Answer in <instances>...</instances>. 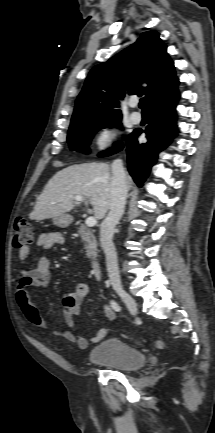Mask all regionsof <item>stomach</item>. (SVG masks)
Instances as JSON below:
<instances>
[{
    "mask_svg": "<svg viewBox=\"0 0 215 433\" xmlns=\"http://www.w3.org/2000/svg\"><path fill=\"white\" fill-rule=\"evenodd\" d=\"M73 221V218L69 214H62L53 218V223L59 227H68Z\"/></svg>",
    "mask_w": 215,
    "mask_h": 433,
    "instance_id": "0dacf381",
    "label": "stomach"
}]
</instances>
